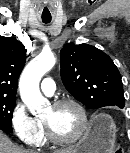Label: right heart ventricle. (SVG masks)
Listing matches in <instances>:
<instances>
[{
  "label": "right heart ventricle",
  "mask_w": 130,
  "mask_h": 153,
  "mask_svg": "<svg viewBox=\"0 0 130 153\" xmlns=\"http://www.w3.org/2000/svg\"><path fill=\"white\" fill-rule=\"evenodd\" d=\"M36 120H37L38 126L40 127V129L42 131V138H41V140L39 142V144H41L45 140V127H44V124H43L42 120H40V119H36Z\"/></svg>",
  "instance_id": "right-heart-ventricle-1"
}]
</instances>
